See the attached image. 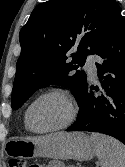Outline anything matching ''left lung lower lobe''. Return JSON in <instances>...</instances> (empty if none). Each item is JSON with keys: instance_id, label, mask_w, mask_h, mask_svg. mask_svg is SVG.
Segmentation results:
<instances>
[{"instance_id": "obj_1", "label": "left lung lower lobe", "mask_w": 125, "mask_h": 167, "mask_svg": "<svg viewBox=\"0 0 125 167\" xmlns=\"http://www.w3.org/2000/svg\"><path fill=\"white\" fill-rule=\"evenodd\" d=\"M96 54L102 96L86 87L78 105L79 118L67 131H91L112 136L125 144V21L120 14ZM99 91V88H95Z\"/></svg>"}]
</instances>
